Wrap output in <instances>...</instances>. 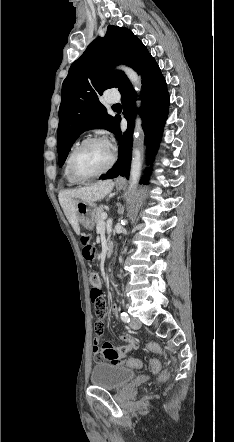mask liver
<instances>
[{
	"instance_id": "1",
	"label": "liver",
	"mask_w": 234,
	"mask_h": 442,
	"mask_svg": "<svg viewBox=\"0 0 234 442\" xmlns=\"http://www.w3.org/2000/svg\"><path fill=\"white\" fill-rule=\"evenodd\" d=\"M114 187L112 180L98 181L97 183L73 190H65L59 193L60 205L77 235L80 234V227L76 205L80 201L94 203L103 199Z\"/></svg>"
}]
</instances>
